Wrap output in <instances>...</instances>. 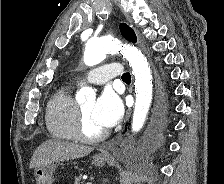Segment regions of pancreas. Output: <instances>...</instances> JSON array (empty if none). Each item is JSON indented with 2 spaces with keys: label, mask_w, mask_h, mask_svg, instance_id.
Instances as JSON below:
<instances>
[{
  "label": "pancreas",
  "mask_w": 224,
  "mask_h": 184,
  "mask_svg": "<svg viewBox=\"0 0 224 184\" xmlns=\"http://www.w3.org/2000/svg\"><path fill=\"white\" fill-rule=\"evenodd\" d=\"M74 184H82V182H81V176H78V177L75 178Z\"/></svg>",
  "instance_id": "cf45deb5"
}]
</instances>
